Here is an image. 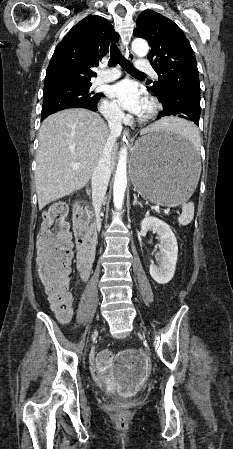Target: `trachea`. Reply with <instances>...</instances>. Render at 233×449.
Instances as JSON below:
<instances>
[{
    "instance_id": "3493384b",
    "label": "trachea",
    "mask_w": 233,
    "mask_h": 449,
    "mask_svg": "<svg viewBox=\"0 0 233 449\" xmlns=\"http://www.w3.org/2000/svg\"><path fill=\"white\" fill-rule=\"evenodd\" d=\"M118 63L130 74L145 75L143 72L135 69V67L122 56L118 47L112 43L110 48V59L108 62V66H116Z\"/></svg>"
}]
</instances>
